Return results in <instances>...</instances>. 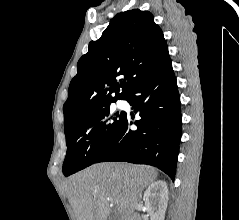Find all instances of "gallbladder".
<instances>
[{
	"mask_svg": "<svg viewBox=\"0 0 239 220\" xmlns=\"http://www.w3.org/2000/svg\"><path fill=\"white\" fill-rule=\"evenodd\" d=\"M108 220H117V218L115 215L112 214L108 217Z\"/></svg>",
	"mask_w": 239,
	"mask_h": 220,
	"instance_id": "obj_1",
	"label": "gallbladder"
}]
</instances>
